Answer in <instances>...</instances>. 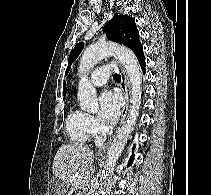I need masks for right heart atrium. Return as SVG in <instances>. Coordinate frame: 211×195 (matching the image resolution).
Returning a JSON list of instances; mask_svg holds the SVG:
<instances>
[{
	"label": "right heart atrium",
	"mask_w": 211,
	"mask_h": 195,
	"mask_svg": "<svg viewBox=\"0 0 211 195\" xmlns=\"http://www.w3.org/2000/svg\"><path fill=\"white\" fill-rule=\"evenodd\" d=\"M87 127L90 135L96 137L99 133V125L95 117L87 115Z\"/></svg>",
	"instance_id": "d8ad5b80"
}]
</instances>
